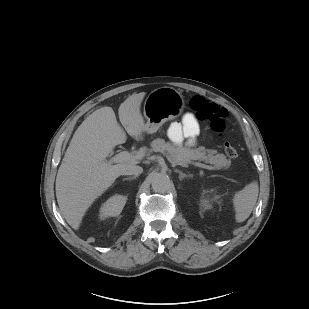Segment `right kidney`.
I'll use <instances>...</instances> for the list:
<instances>
[{"label":"right kidney","instance_id":"1","mask_svg":"<svg viewBox=\"0 0 309 309\" xmlns=\"http://www.w3.org/2000/svg\"><path fill=\"white\" fill-rule=\"evenodd\" d=\"M127 198L122 195H114L110 197L100 208V217L118 216L125 206Z\"/></svg>","mask_w":309,"mask_h":309}]
</instances>
